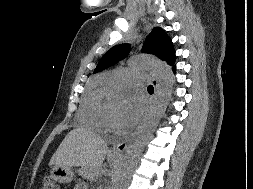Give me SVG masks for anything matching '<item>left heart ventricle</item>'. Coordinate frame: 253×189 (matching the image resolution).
I'll use <instances>...</instances> for the list:
<instances>
[{
	"mask_svg": "<svg viewBox=\"0 0 253 189\" xmlns=\"http://www.w3.org/2000/svg\"><path fill=\"white\" fill-rule=\"evenodd\" d=\"M113 115L115 116L116 119H118L119 115H120V109H115L112 111Z\"/></svg>",
	"mask_w": 253,
	"mask_h": 189,
	"instance_id": "obj_1",
	"label": "left heart ventricle"
}]
</instances>
